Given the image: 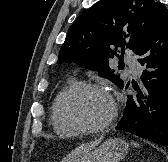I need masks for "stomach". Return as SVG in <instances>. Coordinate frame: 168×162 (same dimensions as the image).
<instances>
[{"instance_id": "0dacf381", "label": "stomach", "mask_w": 168, "mask_h": 162, "mask_svg": "<svg viewBox=\"0 0 168 162\" xmlns=\"http://www.w3.org/2000/svg\"><path fill=\"white\" fill-rule=\"evenodd\" d=\"M128 152V144L120 138H110L98 148L74 157L69 162H119Z\"/></svg>"}]
</instances>
